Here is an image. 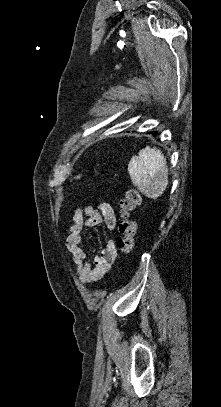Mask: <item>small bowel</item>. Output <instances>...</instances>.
I'll return each instance as SVG.
<instances>
[{"label": "small bowel", "instance_id": "1", "mask_svg": "<svg viewBox=\"0 0 221 407\" xmlns=\"http://www.w3.org/2000/svg\"><path fill=\"white\" fill-rule=\"evenodd\" d=\"M116 222L115 210L108 202H100L97 208L87 205L74 209L73 223L68 227L65 245L75 265L76 278L79 282L87 284L100 280L118 258L116 245L110 239L105 249L96 255L91 263L83 245L82 233L102 223L108 230H114Z\"/></svg>", "mask_w": 221, "mask_h": 407}]
</instances>
